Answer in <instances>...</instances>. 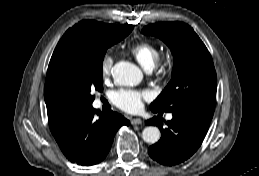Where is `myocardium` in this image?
<instances>
[{"label": "myocardium", "instance_id": "1", "mask_svg": "<svg viewBox=\"0 0 259 176\" xmlns=\"http://www.w3.org/2000/svg\"><path fill=\"white\" fill-rule=\"evenodd\" d=\"M174 64V57L171 54H168L162 58H159L154 66V68L161 71H167L172 68Z\"/></svg>", "mask_w": 259, "mask_h": 176}]
</instances>
